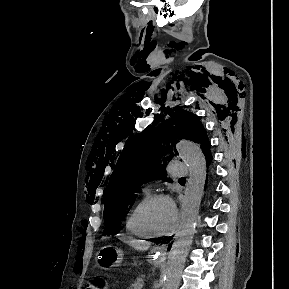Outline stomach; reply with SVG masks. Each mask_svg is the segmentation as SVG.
Segmentation results:
<instances>
[{
  "label": "stomach",
  "instance_id": "obj_1",
  "mask_svg": "<svg viewBox=\"0 0 289 289\" xmlns=\"http://www.w3.org/2000/svg\"><path fill=\"white\" fill-rule=\"evenodd\" d=\"M123 252L121 249L113 246L102 247L97 254V262L103 269L115 266L122 262Z\"/></svg>",
  "mask_w": 289,
  "mask_h": 289
}]
</instances>
